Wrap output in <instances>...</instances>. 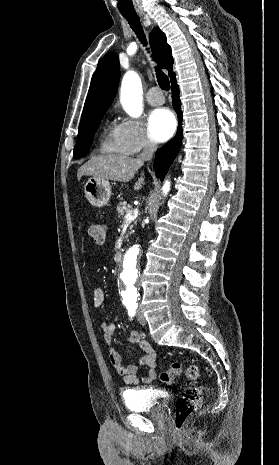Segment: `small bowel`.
<instances>
[{
  "mask_svg": "<svg viewBox=\"0 0 279 465\" xmlns=\"http://www.w3.org/2000/svg\"><path fill=\"white\" fill-rule=\"evenodd\" d=\"M105 300V291L102 288H96L93 291V304L100 307ZM116 326L112 322L104 321L101 324V331L105 342L110 345L115 333ZM128 341L137 344L143 351L138 359L137 364H124L120 354L113 348L109 350V359L118 375L123 379L126 385H136L139 383L137 372L139 367H146L147 372L142 378L145 384L152 383L156 379L157 354L152 345L145 339L142 332L133 331L128 335Z\"/></svg>",
  "mask_w": 279,
  "mask_h": 465,
  "instance_id": "1",
  "label": "small bowel"
}]
</instances>
